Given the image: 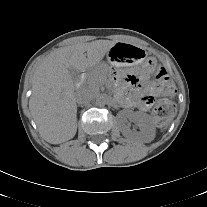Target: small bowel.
Instances as JSON below:
<instances>
[{
    "label": "small bowel",
    "mask_w": 207,
    "mask_h": 207,
    "mask_svg": "<svg viewBox=\"0 0 207 207\" xmlns=\"http://www.w3.org/2000/svg\"><path fill=\"white\" fill-rule=\"evenodd\" d=\"M148 68L141 69V78L128 75L126 82L132 88L133 93H125L121 90L120 98L128 106L137 105L142 110L149 109L154 102L155 85L146 80Z\"/></svg>",
    "instance_id": "c3829d8e"
}]
</instances>
